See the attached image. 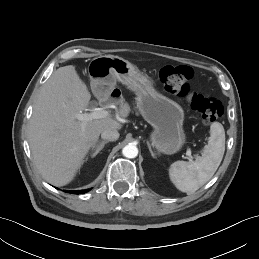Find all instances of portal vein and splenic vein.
<instances>
[{"instance_id":"portal-vein-and-splenic-vein-1","label":"portal vein and splenic vein","mask_w":259,"mask_h":259,"mask_svg":"<svg viewBox=\"0 0 259 259\" xmlns=\"http://www.w3.org/2000/svg\"><path fill=\"white\" fill-rule=\"evenodd\" d=\"M107 116H109V112L100 108H97L93 111H91L90 113H81V114H77L76 118L80 121L83 122L82 127L84 128L86 125V122L90 121V120H94V119H101V118H106ZM186 155L192 159L191 156V150L187 149Z\"/></svg>"}]
</instances>
